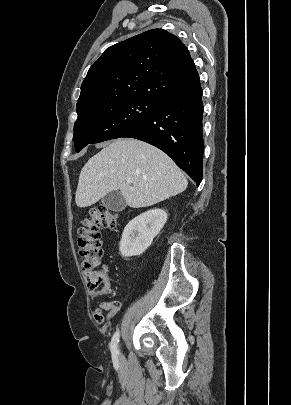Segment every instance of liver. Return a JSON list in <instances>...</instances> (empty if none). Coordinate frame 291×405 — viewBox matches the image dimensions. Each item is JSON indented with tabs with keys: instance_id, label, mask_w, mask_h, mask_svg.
Returning <instances> with one entry per match:
<instances>
[{
	"instance_id": "6515ba94",
	"label": "liver",
	"mask_w": 291,
	"mask_h": 405,
	"mask_svg": "<svg viewBox=\"0 0 291 405\" xmlns=\"http://www.w3.org/2000/svg\"><path fill=\"white\" fill-rule=\"evenodd\" d=\"M187 185L182 171L164 152L140 140L120 138L84 165L75 201L84 208L120 190L128 206L141 208L180 194Z\"/></svg>"
}]
</instances>
